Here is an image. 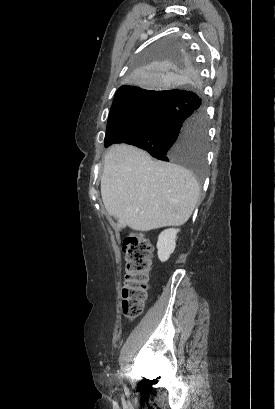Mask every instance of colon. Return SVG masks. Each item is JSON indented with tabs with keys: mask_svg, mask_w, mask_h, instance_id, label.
Here are the masks:
<instances>
[{
	"mask_svg": "<svg viewBox=\"0 0 275 409\" xmlns=\"http://www.w3.org/2000/svg\"><path fill=\"white\" fill-rule=\"evenodd\" d=\"M121 242L126 255L121 310L133 320L141 316L147 299L152 246L141 233H127Z\"/></svg>",
	"mask_w": 275,
	"mask_h": 409,
	"instance_id": "5ec220e1",
	"label": "colon"
}]
</instances>
